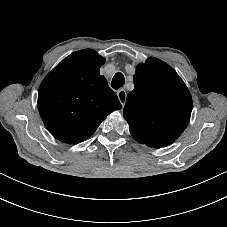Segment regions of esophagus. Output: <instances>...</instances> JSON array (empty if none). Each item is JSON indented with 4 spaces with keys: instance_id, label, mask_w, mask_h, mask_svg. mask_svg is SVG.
<instances>
[{
    "instance_id": "esophagus-1",
    "label": "esophagus",
    "mask_w": 227,
    "mask_h": 227,
    "mask_svg": "<svg viewBox=\"0 0 227 227\" xmlns=\"http://www.w3.org/2000/svg\"><path fill=\"white\" fill-rule=\"evenodd\" d=\"M117 96H118V99L122 105V109L126 103V99H127V93L124 89H121V90H118L117 91Z\"/></svg>"
}]
</instances>
